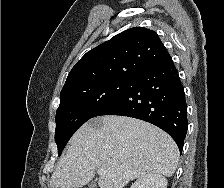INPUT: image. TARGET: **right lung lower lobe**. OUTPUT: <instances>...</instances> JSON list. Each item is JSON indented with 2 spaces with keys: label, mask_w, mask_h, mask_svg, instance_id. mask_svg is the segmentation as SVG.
I'll list each match as a JSON object with an SVG mask.
<instances>
[{
  "label": "right lung lower lobe",
  "mask_w": 224,
  "mask_h": 188,
  "mask_svg": "<svg viewBox=\"0 0 224 188\" xmlns=\"http://www.w3.org/2000/svg\"><path fill=\"white\" fill-rule=\"evenodd\" d=\"M101 115L128 116L152 123L166 131L182 152L188 130L187 104L172 58L135 76L128 91Z\"/></svg>",
  "instance_id": "98d812e1"
}]
</instances>
